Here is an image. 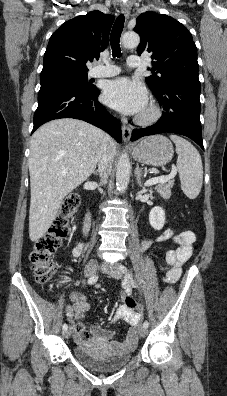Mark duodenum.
<instances>
[{
	"mask_svg": "<svg viewBox=\"0 0 227 396\" xmlns=\"http://www.w3.org/2000/svg\"><path fill=\"white\" fill-rule=\"evenodd\" d=\"M90 221H91V217L90 214L87 213L86 217H85V221H84V226H83V231L84 233H87L90 227Z\"/></svg>",
	"mask_w": 227,
	"mask_h": 396,
	"instance_id": "obj_1",
	"label": "duodenum"
}]
</instances>
